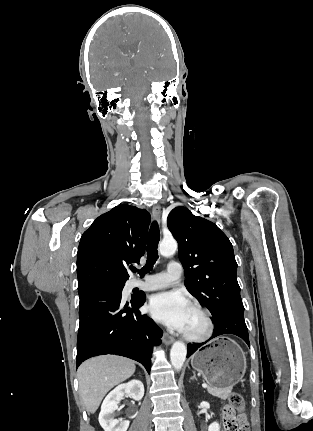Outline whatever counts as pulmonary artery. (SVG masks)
Returning a JSON list of instances; mask_svg holds the SVG:
<instances>
[{
  "mask_svg": "<svg viewBox=\"0 0 313 431\" xmlns=\"http://www.w3.org/2000/svg\"><path fill=\"white\" fill-rule=\"evenodd\" d=\"M181 274V265L176 261H172L168 264L166 271L147 276L144 281H134L132 286L145 291L158 290L176 283Z\"/></svg>",
  "mask_w": 313,
  "mask_h": 431,
  "instance_id": "pulmonary-artery-1",
  "label": "pulmonary artery"
}]
</instances>
